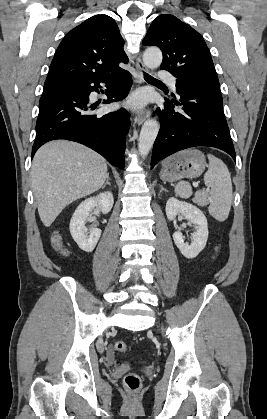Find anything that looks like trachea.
I'll use <instances>...</instances> for the list:
<instances>
[{
  "label": "trachea",
  "mask_w": 267,
  "mask_h": 419,
  "mask_svg": "<svg viewBox=\"0 0 267 419\" xmlns=\"http://www.w3.org/2000/svg\"><path fill=\"white\" fill-rule=\"evenodd\" d=\"M144 78L146 80H152V81H157L159 82V80L155 79L154 77L150 76L149 74L144 73Z\"/></svg>",
  "instance_id": "1"
}]
</instances>
